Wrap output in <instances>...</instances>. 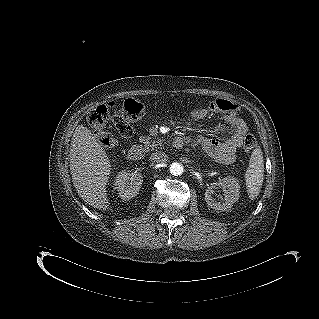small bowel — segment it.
Wrapping results in <instances>:
<instances>
[{
	"label": "small bowel",
	"mask_w": 319,
	"mask_h": 319,
	"mask_svg": "<svg viewBox=\"0 0 319 319\" xmlns=\"http://www.w3.org/2000/svg\"><path fill=\"white\" fill-rule=\"evenodd\" d=\"M226 120L232 128H235L238 131L245 129L244 122L235 113L227 114ZM239 143V135H234L222 140L198 135L193 141V145H200L206 154L224 164H228L232 161L234 152L236 147L239 146Z\"/></svg>",
	"instance_id": "c3829d8e"
}]
</instances>
